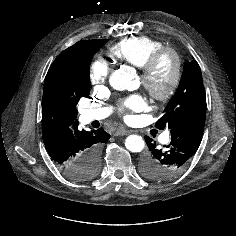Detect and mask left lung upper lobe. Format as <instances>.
I'll list each match as a JSON object with an SVG mask.
<instances>
[{
    "label": "left lung upper lobe",
    "mask_w": 236,
    "mask_h": 236,
    "mask_svg": "<svg viewBox=\"0 0 236 236\" xmlns=\"http://www.w3.org/2000/svg\"><path fill=\"white\" fill-rule=\"evenodd\" d=\"M202 114L206 115V95L201 69L196 61L186 62L178 89L155 126L171 129L186 118Z\"/></svg>",
    "instance_id": "obj_1"
}]
</instances>
